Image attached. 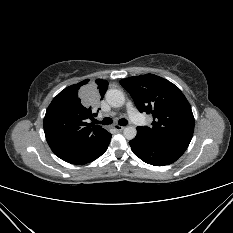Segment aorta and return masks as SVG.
<instances>
[{
	"instance_id": "obj_1",
	"label": "aorta",
	"mask_w": 233,
	"mask_h": 233,
	"mask_svg": "<svg viewBox=\"0 0 233 233\" xmlns=\"http://www.w3.org/2000/svg\"><path fill=\"white\" fill-rule=\"evenodd\" d=\"M107 103L115 108L122 107L125 103V96L122 91L117 89H110L105 95ZM123 134L126 139L132 140L137 135V130L134 126H127L124 128Z\"/></svg>"
}]
</instances>
